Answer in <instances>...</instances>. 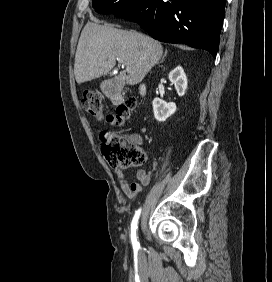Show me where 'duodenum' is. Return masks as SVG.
Returning <instances> with one entry per match:
<instances>
[{
    "label": "duodenum",
    "mask_w": 272,
    "mask_h": 282,
    "mask_svg": "<svg viewBox=\"0 0 272 282\" xmlns=\"http://www.w3.org/2000/svg\"><path fill=\"white\" fill-rule=\"evenodd\" d=\"M106 92L108 94V97L113 100V101H119L122 99L123 96V85L119 83V81L114 80L110 81L106 87ZM141 94L145 95L146 94V89L145 87L141 88Z\"/></svg>",
    "instance_id": "410a0bca"
}]
</instances>
